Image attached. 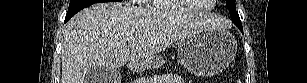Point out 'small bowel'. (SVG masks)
Returning a JSON list of instances; mask_svg holds the SVG:
<instances>
[{
    "label": "small bowel",
    "instance_id": "small-bowel-1",
    "mask_svg": "<svg viewBox=\"0 0 307 83\" xmlns=\"http://www.w3.org/2000/svg\"><path fill=\"white\" fill-rule=\"evenodd\" d=\"M159 83H183V80L176 74H166L161 78Z\"/></svg>",
    "mask_w": 307,
    "mask_h": 83
}]
</instances>
